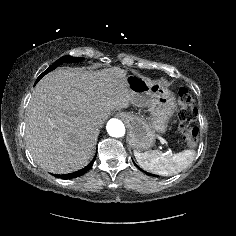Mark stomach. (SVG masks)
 Returning <instances> with one entry per match:
<instances>
[{
	"label": "stomach",
	"instance_id": "0dacf381",
	"mask_svg": "<svg viewBox=\"0 0 236 236\" xmlns=\"http://www.w3.org/2000/svg\"><path fill=\"white\" fill-rule=\"evenodd\" d=\"M126 84L134 94L132 104L148 107L149 121L132 112L123 113L129 128V143L136 151L148 150L155 144V133H165L168 122L175 112V97L160 84L145 77L128 75Z\"/></svg>",
	"mask_w": 236,
	"mask_h": 236
}]
</instances>
